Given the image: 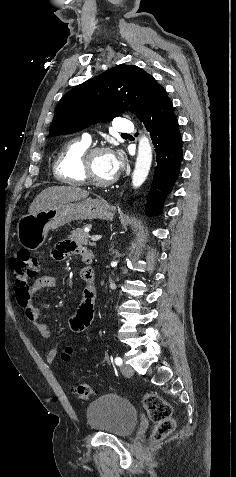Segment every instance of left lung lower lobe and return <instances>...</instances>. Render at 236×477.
Listing matches in <instances>:
<instances>
[{"label":"left lung lower lobe","mask_w":236,"mask_h":477,"mask_svg":"<svg viewBox=\"0 0 236 477\" xmlns=\"http://www.w3.org/2000/svg\"><path fill=\"white\" fill-rule=\"evenodd\" d=\"M143 123L150 132L157 155V167L149 192L146 213L158 215L179 175L183 157L178 121L163 87L159 89L155 102L143 119Z\"/></svg>","instance_id":"1"}]
</instances>
